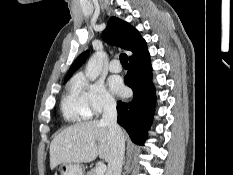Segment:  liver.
Instances as JSON below:
<instances>
[{"mask_svg":"<svg viewBox=\"0 0 233 175\" xmlns=\"http://www.w3.org/2000/svg\"><path fill=\"white\" fill-rule=\"evenodd\" d=\"M99 156L109 161L110 131L98 120L77 123L55 136L50 145V168L63 163H88Z\"/></svg>","mask_w":233,"mask_h":175,"instance_id":"6515ba94","label":"liver"}]
</instances>
